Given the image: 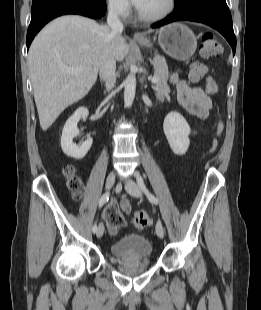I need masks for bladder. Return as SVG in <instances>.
Wrapping results in <instances>:
<instances>
[{
  "instance_id": "1",
  "label": "bladder",
  "mask_w": 261,
  "mask_h": 310,
  "mask_svg": "<svg viewBox=\"0 0 261 310\" xmlns=\"http://www.w3.org/2000/svg\"><path fill=\"white\" fill-rule=\"evenodd\" d=\"M110 251L117 259H146L151 256L153 248L144 235L131 233L115 241Z\"/></svg>"
}]
</instances>
